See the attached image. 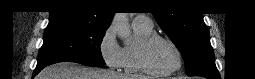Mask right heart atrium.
<instances>
[{
  "label": "right heart atrium",
  "instance_id": "obj_1",
  "mask_svg": "<svg viewBox=\"0 0 255 79\" xmlns=\"http://www.w3.org/2000/svg\"><path fill=\"white\" fill-rule=\"evenodd\" d=\"M98 49L106 66L115 70L122 67L123 48L118 44L112 27L104 31Z\"/></svg>",
  "mask_w": 255,
  "mask_h": 79
}]
</instances>
